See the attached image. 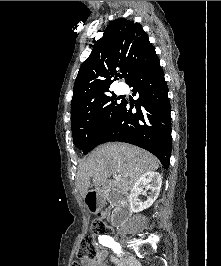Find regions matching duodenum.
I'll use <instances>...</instances> for the list:
<instances>
[{
    "label": "duodenum",
    "mask_w": 221,
    "mask_h": 266,
    "mask_svg": "<svg viewBox=\"0 0 221 266\" xmlns=\"http://www.w3.org/2000/svg\"><path fill=\"white\" fill-rule=\"evenodd\" d=\"M86 206H90V213H99L100 209L97 206H102L103 200L107 195L112 200L117 208L111 215V223L114 226H122L132 215V205L129 196L116 191H110L109 193L99 189H88L85 192Z\"/></svg>",
    "instance_id": "410a0bca"
}]
</instances>
